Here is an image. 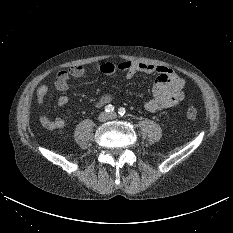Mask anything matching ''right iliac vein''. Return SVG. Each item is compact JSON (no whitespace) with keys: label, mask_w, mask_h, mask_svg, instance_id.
<instances>
[{"label":"right iliac vein","mask_w":233,"mask_h":233,"mask_svg":"<svg viewBox=\"0 0 233 233\" xmlns=\"http://www.w3.org/2000/svg\"><path fill=\"white\" fill-rule=\"evenodd\" d=\"M108 118L109 115L106 112H102L98 117L99 121L101 122H105L106 120H108Z\"/></svg>","instance_id":"obj_1"}]
</instances>
